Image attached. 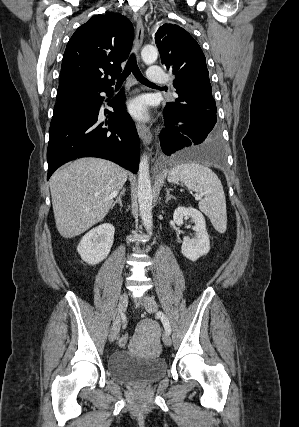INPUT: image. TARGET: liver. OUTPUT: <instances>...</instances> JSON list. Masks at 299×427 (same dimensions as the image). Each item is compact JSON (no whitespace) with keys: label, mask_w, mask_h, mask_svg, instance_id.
<instances>
[{"label":"liver","mask_w":299,"mask_h":427,"mask_svg":"<svg viewBox=\"0 0 299 427\" xmlns=\"http://www.w3.org/2000/svg\"><path fill=\"white\" fill-rule=\"evenodd\" d=\"M127 180V171L100 158H81L50 178L55 223L64 238H73L100 222Z\"/></svg>","instance_id":"liver-1"}]
</instances>
